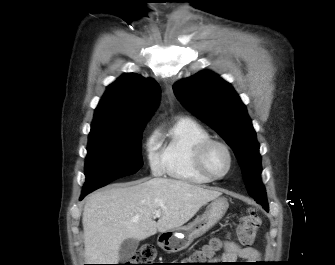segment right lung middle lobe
I'll list each match as a JSON object with an SVG mask.
<instances>
[{"label":"right lung middle lobe","instance_id":"1","mask_svg":"<svg viewBox=\"0 0 335 265\" xmlns=\"http://www.w3.org/2000/svg\"><path fill=\"white\" fill-rule=\"evenodd\" d=\"M145 124L119 132L89 134L82 193H90L120 177L136 173L143 165L141 134Z\"/></svg>","mask_w":335,"mask_h":265}]
</instances>
